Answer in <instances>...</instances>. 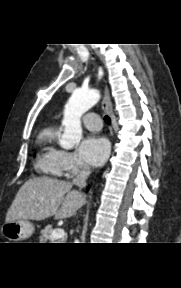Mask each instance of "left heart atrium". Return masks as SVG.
Masks as SVG:
<instances>
[{
  "label": "left heart atrium",
  "instance_id": "left-heart-atrium-1",
  "mask_svg": "<svg viewBox=\"0 0 181 288\" xmlns=\"http://www.w3.org/2000/svg\"><path fill=\"white\" fill-rule=\"evenodd\" d=\"M78 154L85 163L98 166L108 157L109 143L104 137L89 135L81 141Z\"/></svg>",
  "mask_w": 181,
  "mask_h": 288
}]
</instances>
